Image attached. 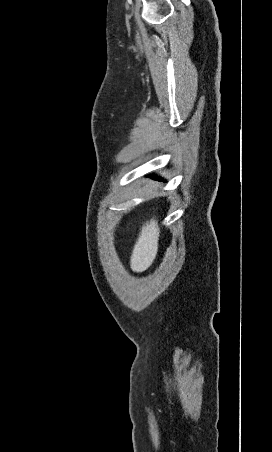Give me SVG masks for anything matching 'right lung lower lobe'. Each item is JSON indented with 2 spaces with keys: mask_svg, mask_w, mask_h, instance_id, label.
Listing matches in <instances>:
<instances>
[{
  "mask_svg": "<svg viewBox=\"0 0 272 452\" xmlns=\"http://www.w3.org/2000/svg\"><path fill=\"white\" fill-rule=\"evenodd\" d=\"M151 178L156 179V180H162L160 177H156L155 175L151 176Z\"/></svg>",
  "mask_w": 272,
  "mask_h": 452,
  "instance_id": "obj_1",
  "label": "right lung lower lobe"
}]
</instances>
